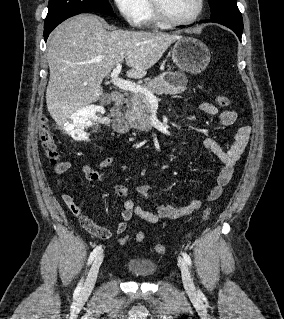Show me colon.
<instances>
[{
    "instance_id": "colon-1",
    "label": "colon",
    "mask_w": 284,
    "mask_h": 319,
    "mask_svg": "<svg viewBox=\"0 0 284 319\" xmlns=\"http://www.w3.org/2000/svg\"><path fill=\"white\" fill-rule=\"evenodd\" d=\"M216 102L219 106L223 108H227L230 105V100L223 95L216 96ZM39 137L41 141V145L45 151L46 156L50 160L51 163H56L59 157L57 146L55 143V139L53 134L51 133L48 123L46 120H43L40 125ZM211 215V208H206L202 213V219L208 220ZM135 239L137 242H142L145 239V235L143 232H138L135 235ZM129 238L127 236L122 237L118 240L120 245H125L128 242ZM155 250L159 254H163L166 250L163 244H157Z\"/></svg>"
}]
</instances>
